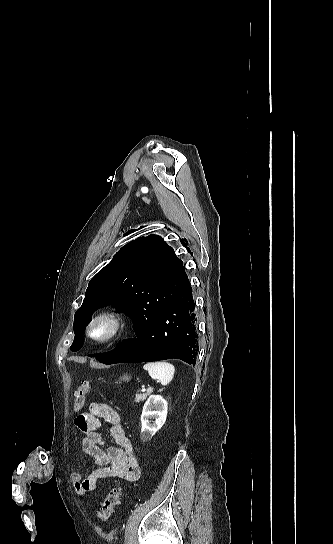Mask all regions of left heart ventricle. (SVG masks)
I'll use <instances>...</instances> for the list:
<instances>
[{
	"label": "left heart ventricle",
	"mask_w": 333,
	"mask_h": 544,
	"mask_svg": "<svg viewBox=\"0 0 333 544\" xmlns=\"http://www.w3.org/2000/svg\"><path fill=\"white\" fill-rule=\"evenodd\" d=\"M105 330H106V329H105L104 326H99V327L96 328L95 334H96L97 336L103 335V334L105 333Z\"/></svg>",
	"instance_id": "b2bd125f"
}]
</instances>
